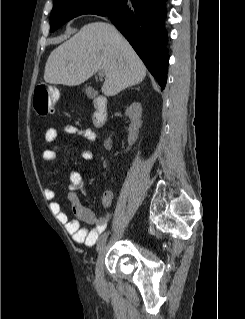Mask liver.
<instances>
[{
    "label": "liver",
    "instance_id": "liver-1",
    "mask_svg": "<svg viewBox=\"0 0 245 319\" xmlns=\"http://www.w3.org/2000/svg\"><path fill=\"white\" fill-rule=\"evenodd\" d=\"M99 70L105 74L101 91L106 96L139 84L146 76V67L129 42L105 22L84 25L54 49L45 65L44 80L77 86Z\"/></svg>",
    "mask_w": 245,
    "mask_h": 319
}]
</instances>
